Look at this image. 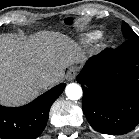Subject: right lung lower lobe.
I'll list each match as a JSON object with an SVG mask.
<instances>
[{
    "instance_id": "right-lung-lower-lobe-1",
    "label": "right lung lower lobe",
    "mask_w": 139,
    "mask_h": 139,
    "mask_svg": "<svg viewBox=\"0 0 139 139\" xmlns=\"http://www.w3.org/2000/svg\"><path fill=\"white\" fill-rule=\"evenodd\" d=\"M66 84L61 83L31 103L16 108L0 105V138L35 139L44 130L49 110Z\"/></svg>"
}]
</instances>
